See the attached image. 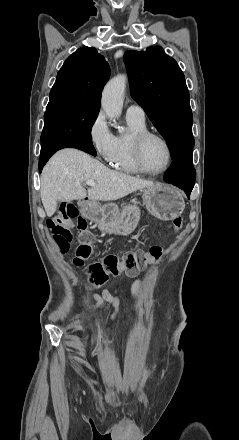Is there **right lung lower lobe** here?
Returning <instances> with one entry per match:
<instances>
[{
	"label": "right lung lower lobe",
	"instance_id": "98d812e1",
	"mask_svg": "<svg viewBox=\"0 0 239 440\" xmlns=\"http://www.w3.org/2000/svg\"><path fill=\"white\" fill-rule=\"evenodd\" d=\"M66 147H73V148H77L80 150H83L93 156H96V151L93 147V144L88 142L85 139H80V138H70V139H66L63 141H60L58 143H55L53 145H51L50 147H48L45 150H41V156H40V161H39V170L41 172L43 166L46 164V162L48 161V159L58 150L62 149V148H66Z\"/></svg>",
	"mask_w": 239,
	"mask_h": 440
}]
</instances>
